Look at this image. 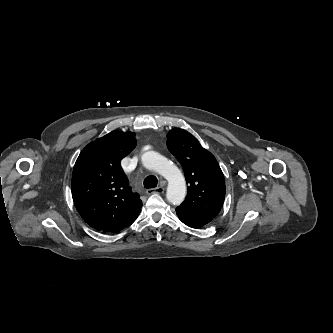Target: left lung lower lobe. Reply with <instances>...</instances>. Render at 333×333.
<instances>
[{"label": "left lung lower lobe", "mask_w": 333, "mask_h": 333, "mask_svg": "<svg viewBox=\"0 0 333 333\" xmlns=\"http://www.w3.org/2000/svg\"><path fill=\"white\" fill-rule=\"evenodd\" d=\"M178 218L191 228H200L209 223L213 218L201 214H195L179 207L176 208Z\"/></svg>", "instance_id": "left-lung-lower-lobe-1"}]
</instances>
